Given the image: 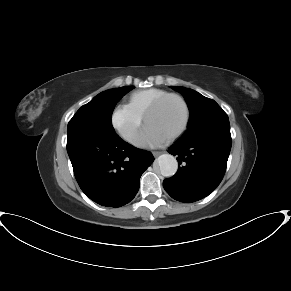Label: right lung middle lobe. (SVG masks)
Returning <instances> with one entry per match:
<instances>
[{"label": "right lung middle lobe", "mask_w": 291, "mask_h": 291, "mask_svg": "<svg viewBox=\"0 0 291 291\" xmlns=\"http://www.w3.org/2000/svg\"><path fill=\"white\" fill-rule=\"evenodd\" d=\"M133 88V86H126L110 89L96 95L75 113L68 123L67 131L84 130L104 134L115 133L111 122L112 112L116 103Z\"/></svg>", "instance_id": "right-lung-middle-lobe-1"}]
</instances>
